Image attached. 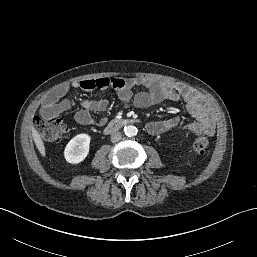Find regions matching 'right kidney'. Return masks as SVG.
<instances>
[{"label":"right kidney","instance_id":"ca27d5eb","mask_svg":"<svg viewBox=\"0 0 257 257\" xmlns=\"http://www.w3.org/2000/svg\"><path fill=\"white\" fill-rule=\"evenodd\" d=\"M90 136L82 133L73 137L65 147L64 157L67 162L77 164L82 162L89 153Z\"/></svg>","mask_w":257,"mask_h":257}]
</instances>
